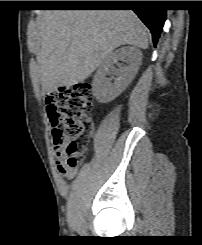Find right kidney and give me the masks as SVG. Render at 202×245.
<instances>
[{"label":"right kidney","instance_id":"right-kidney-1","mask_svg":"<svg viewBox=\"0 0 202 245\" xmlns=\"http://www.w3.org/2000/svg\"><path fill=\"white\" fill-rule=\"evenodd\" d=\"M124 61L127 66L115 69L114 64ZM142 63V52L135 47H122L111 52L99 65L92 83L93 93L99 102L107 103L119 96L131 83ZM113 72L114 83L106 76Z\"/></svg>","mask_w":202,"mask_h":245}]
</instances>
